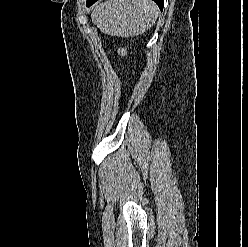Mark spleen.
Wrapping results in <instances>:
<instances>
[{"mask_svg": "<svg viewBox=\"0 0 248 247\" xmlns=\"http://www.w3.org/2000/svg\"><path fill=\"white\" fill-rule=\"evenodd\" d=\"M158 17L152 0H108L95 6L91 20L101 32L120 37L139 35Z\"/></svg>", "mask_w": 248, "mask_h": 247, "instance_id": "obj_1", "label": "spleen"}]
</instances>
